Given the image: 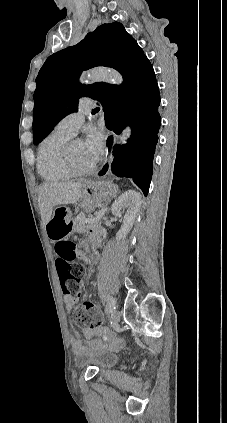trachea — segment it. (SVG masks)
I'll list each match as a JSON object with an SVG mask.
<instances>
[{"mask_svg":"<svg viewBox=\"0 0 227 423\" xmlns=\"http://www.w3.org/2000/svg\"><path fill=\"white\" fill-rule=\"evenodd\" d=\"M94 110H100L99 107L95 108Z\"/></svg>","mask_w":227,"mask_h":423,"instance_id":"1","label":"trachea"}]
</instances>
